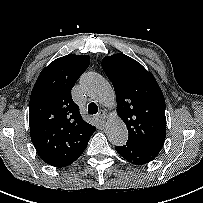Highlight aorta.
<instances>
[{"label":"aorta","instance_id":"762f6f07","mask_svg":"<svg viewBox=\"0 0 203 203\" xmlns=\"http://www.w3.org/2000/svg\"><path fill=\"white\" fill-rule=\"evenodd\" d=\"M83 91L100 105L113 108L116 105L115 92L112 86L101 75L90 72L81 79ZM106 135L109 142L115 146H123L128 140V130L117 115L112 116L106 127Z\"/></svg>","mask_w":203,"mask_h":203}]
</instances>
